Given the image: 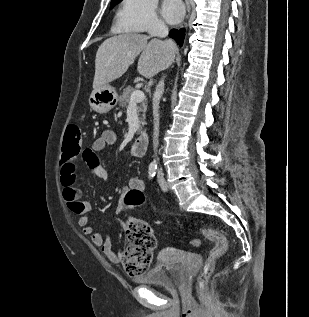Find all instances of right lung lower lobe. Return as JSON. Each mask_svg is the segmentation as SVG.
Masks as SVG:
<instances>
[{
    "label": "right lung lower lobe",
    "mask_w": 309,
    "mask_h": 317,
    "mask_svg": "<svg viewBox=\"0 0 309 317\" xmlns=\"http://www.w3.org/2000/svg\"><path fill=\"white\" fill-rule=\"evenodd\" d=\"M184 32H185V29H180V31L176 29H172L170 31L169 37L174 39L179 46H182L184 41V35H185Z\"/></svg>",
    "instance_id": "98d812e1"
}]
</instances>
